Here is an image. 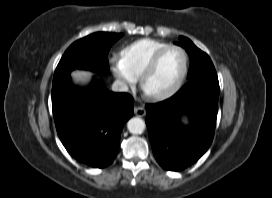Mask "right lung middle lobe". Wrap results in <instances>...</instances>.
<instances>
[{
  "instance_id": "right-lung-middle-lobe-1",
  "label": "right lung middle lobe",
  "mask_w": 272,
  "mask_h": 198,
  "mask_svg": "<svg viewBox=\"0 0 272 198\" xmlns=\"http://www.w3.org/2000/svg\"><path fill=\"white\" fill-rule=\"evenodd\" d=\"M122 33H93L74 42L61 58L53 84L69 76L74 69H86L103 74L109 71L108 52Z\"/></svg>"
}]
</instances>
